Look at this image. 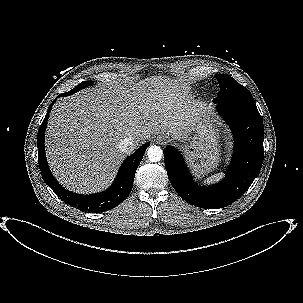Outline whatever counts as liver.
Instances as JSON below:
<instances>
[{"label": "liver", "mask_w": 303, "mask_h": 303, "mask_svg": "<svg viewBox=\"0 0 303 303\" xmlns=\"http://www.w3.org/2000/svg\"><path fill=\"white\" fill-rule=\"evenodd\" d=\"M200 116L184 79L102 83L54 105L46 131L47 159L69 190L97 192L111 183L124 160L119 144L125 137H133L135 148L153 134L182 140Z\"/></svg>", "instance_id": "obj_1"}]
</instances>
